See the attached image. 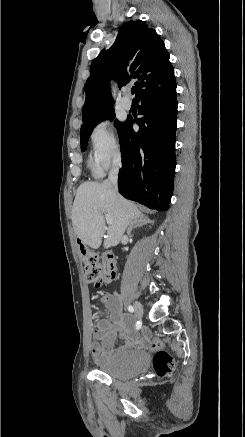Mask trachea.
I'll list each match as a JSON object with an SVG mask.
<instances>
[{
	"label": "trachea",
	"mask_w": 245,
	"mask_h": 437,
	"mask_svg": "<svg viewBox=\"0 0 245 437\" xmlns=\"http://www.w3.org/2000/svg\"><path fill=\"white\" fill-rule=\"evenodd\" d=\"M134 92H135V88L133 87V88L131 89V93L134 94Z\"/></svg>",
	"instance_id": "trachea-1"
}]
</instances>
